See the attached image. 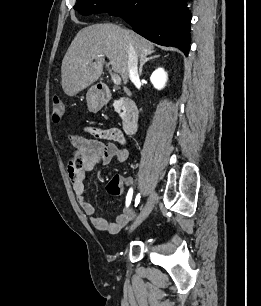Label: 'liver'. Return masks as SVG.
Returning a JSON list of instances; mask_svg holds the SVG:
<instances>
[{
	"label": "liver",
	"mask_w": 261,
	"mask_h": 306,
	"mask_svg": "<svg viewBox=\"0 0 261 306\" xmlns=\"http://www.w3.org/2000/svg\"><path fill=\"white\" fill-rule=\"evenodd\" d=\"M144 58L154 52V45L134 31L112 23H101L81 29L69 46L61 66V85L68 96H75L99 79L107 57L113 71L128 82V49Z\"/></svg>",
	"instance_id": "6515ba94"
}]
</instances>
